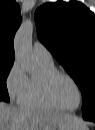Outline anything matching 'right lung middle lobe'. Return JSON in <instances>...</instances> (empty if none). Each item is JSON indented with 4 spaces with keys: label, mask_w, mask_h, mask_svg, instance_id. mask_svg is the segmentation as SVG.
<instances>
[{
    "label": "right lung middle lobe",
    "mask_w": 95,
    "mask_h": 130,
    "mask_svg": "<svg viewBox=\"0 0 95 130\" xmlns=\"http://www.w3.org/2000/svg\"><path fill=\"white\" fill-rule=\"evenodd\" d=\"M13 63H0V100L9 101L6 79Z\"/></svg>",
    "instance_id": "dd1d6c3e"
}]
</instances>
